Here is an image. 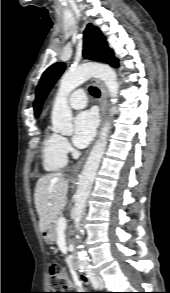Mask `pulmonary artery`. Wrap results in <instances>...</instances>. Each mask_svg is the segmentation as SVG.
I'll list each match as a JSON object with an SVG mask.
<instances>
[{"label":"pulmonary artery","mask_w":170,"mask_h":293,"mask_svg":"<svg viewBox=\"0 0 170 293\" xmlns=\"http://www.w3.org/2000/svg\"><path fill=\"white\" fill-rule=\"evenodd\" d=\"M69 105L74 109H82L87 105L86 94L83 89L72 92L68 98Z\"/></svg>","instance_id":"e3ab8cb5"}]
</instances>
